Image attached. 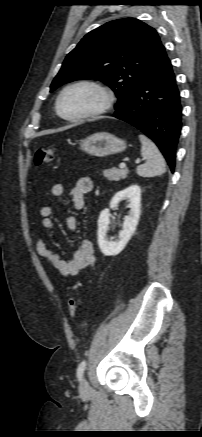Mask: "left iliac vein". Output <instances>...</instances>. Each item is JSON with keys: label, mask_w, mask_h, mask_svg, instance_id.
Listing matches in <instances>:
<instances>
[{"label": "left iliac vein", "mask_w": 202, "mask_h": 437, "mask_svg": "<svg viewBox=\"0 0 202 437\" xmlns=\"http://www.w3.org/2000/svg\"><path fill=\"white\" fill-rule=\"evenodd\" d=\"M80 390H81V392H84V393L90 391L89 383L87 382V380L85 378L82 379V381H81Z\"/></svg>", "instance_id": "4c4485c4"}]
</instances>
